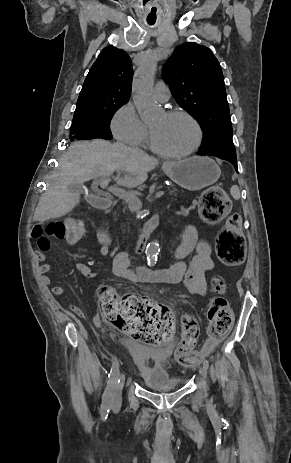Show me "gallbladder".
I'll return each instance as SVG.
<instances>
[{
	"label": "gallbladder",
	"instance_id": "bac80fb5",
	"mask_svg": "<svg viewBox=\"0 0 291 463\" xmlns=\"http://www.w3.org/2000/svg\"><path fill=\"white\" fill-rule=\"evenodd\" d=\"M70 190H71V191H74V192H80V191H82V189L80 188V186H79V185H76V184L71 185V186H70Z\"/></svg>",
	"mask_w": 291,
	"mask_h": 463
}]
</instances>
